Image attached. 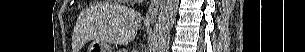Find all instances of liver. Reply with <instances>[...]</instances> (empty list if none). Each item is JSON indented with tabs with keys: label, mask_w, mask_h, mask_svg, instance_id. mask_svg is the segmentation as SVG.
Segmentation results:
<instances>
[{
	"label": "liver",
	"mask_w": 305,
	"mask_h": 52,
	"mask_svg": "<svg viewBox=\"0 0 305 52\" xmlns=\"http://www.w3.org/2000/svg\"><path fill=\"white\" fill-rule=\"evenodd\" d=\"M142 18L139 12L121 5L106 7L96 26L87 25L88 38L116 45L133 41Z\"/></svg>",
	"instance_id": "6515ba94"
}]
</instances>
